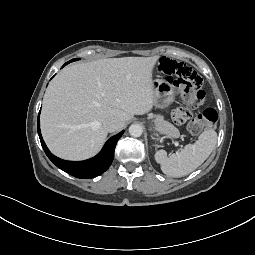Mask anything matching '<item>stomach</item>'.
<instances>
[{"mask_svg": "<svg viewBox=\"0 0 255 255\" xmlns=\"http://www.w3.org/2000/svg\"><path fill=\"white\" fill-rule=\"evenodd\" d=\"M154 105L160 108L169 106L174 101V87L172 84L157 79L153 81ZM155 131H158L155 128Z\"/></svg>", "mask_w": 255, "mask_h": 255, "instance_id": "0dacf381", "label": "stomach"}]
</instances>
